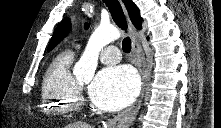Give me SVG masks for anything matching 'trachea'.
I'll use <instances>...</instances> for the list:
<instances>
[{"label": "trachea", "instance_id": "trachea-1", "mask_svg": "<svg viewBox=\"0 0 221 128\" xmlns=\"http://www.w3.org/2000/svg\"><path fill=\"white\" fill-rule=\"evenodd\" d=\"M105 5L108 7L111 16L116 23V25L124 30L127 31V21L124 16L122 7L118 0H103ZM122 48L125 53H129L131 51V40L129 37H125L122 42Z\"/></svg>", "mask_w": 221, "mask_h": 128}]
</instances>
